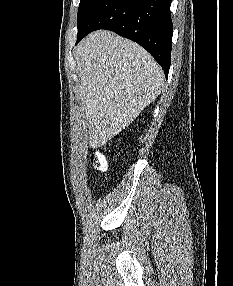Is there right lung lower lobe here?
<instances>
[{"mask_svg":"<svg viewBox=\"0 0 233 286\" xmlns=\"http://www.w3.org/2000/svg\"><path fill=\"white\" fill-rule=\"evenodd\" d=\"M171 0H96L78 24L76 44L88 33L107 29L145 48L168 76L173 24Z\"/></svg>","mask_w":233,"mask_h":286,"instance_id":"right-lung-lower-lobe-1","label":"right lung lower lobe"}]
</instances>
